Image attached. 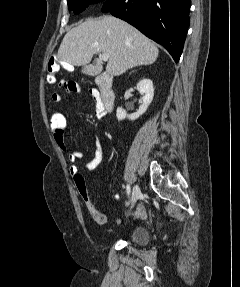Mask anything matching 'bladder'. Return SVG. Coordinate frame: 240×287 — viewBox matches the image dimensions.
Segmentation results:
<instances>
[{
    "label": "bladder",
    "mask_w": 240,
    "mask_h": 287,
    "mask_svg": "<svg viewBox=\"0 0 240 287\" xmlns=\"http://www.w3.org/2000/svg\"><path fill=\"white\" fill-rule=\"evenodd\" d=\"M129 238L137 244H146L149 241V234L145 228L136 226L129 232Z\"/></svg>",
    "instance_id": "1"
}]
</instances>
